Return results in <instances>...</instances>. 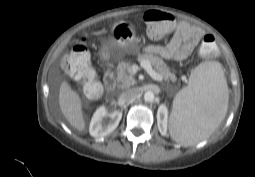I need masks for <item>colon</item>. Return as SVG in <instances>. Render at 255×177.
<instances>
[{
	"instance_id": "1",
	"label": "colon",
	"mask_w": 255,
	"mask_h": 177,
	"mask_svg": "<svg viewBox=\"0 0 255 177\" xmlns=\"http://www.w3.org/2000/svg\"><path fill=\"white\" fill-rule=\"evenodd\" d=\"M147 33L152 39H159L168 33L175 25L172 14L149 10L144 15ZM217 51L216 39L213 35H206L199 48L201 55L213 56ZM64 72L81 82L84 93L95 98L101 92V86L97 80L96 70L92 67L91 57L85 41L78 42L73 49L64 56L61 62Z\"/></svg>"
}]
</instances>
